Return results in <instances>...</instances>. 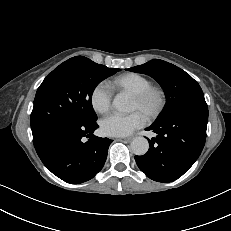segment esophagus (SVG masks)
<instances>
[{
    "label": "esophagus",
    "instance_id": "34e87169",
    "mask_svg": "<svg viewBox=\"0 0 231 231\" xmlns=\"http://www.w3.org/2000/svg\"><path fill=\"white\" fill-rule=\"evenodd\" d=\"M120 139L125 141H131L132 137H121Z\"/></svg>",
    "mask_w": 231,
    "mask_h": 231
}]
</instances>
